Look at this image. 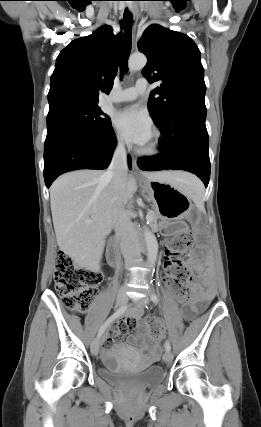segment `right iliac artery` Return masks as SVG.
<instances>
[{
    "instance_id": "obj_1",
    "label": "right iliac artery",
    "mask_w": 261,
    "mask_h": 427,
    "mask_svg": "<svg viewBox=\"0 0 261 427\" xmlns=\"http://www.w3.org/2000/svg\"><path fill=\"white\" fill-rule=\"evenodd\" d=\"M127 309V306H122L120 307L114 314H112L106 321L105 323L101 326V328L98 331V337H100L104 331L106 330V328L108 327V325L113 322L116 318H118L120 315H122Z\"/></svg>"
}]
</instances>
